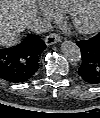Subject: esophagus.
I'll return each mask as SVG.
<instances>
[{
	"label": "esophagus",
	"instance_id": "obj_1",
	"mask_svg": "<svg viewBox=\"0 0 100 118\" xmlns=\"http://www.w3.org/2000/svg\"><path fill=\"white\" fill-rule=\"evenodd\" d=\"M61 41V37L56 33H51L45 38L46 45H53Z\"/></svg>",
	"mask_w": 100,
	"mask_h": 118
}]
</instances>
